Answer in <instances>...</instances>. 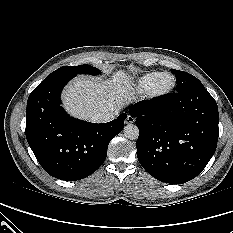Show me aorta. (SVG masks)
<instances>
[{
    "label": "aorta",
    "instance_id": "1",
    "mask_svg": "<svg viewBox=\"0 0 233 233\" xmlns=\"http://www.w3.org/2000/svg\"><path fill=\"white\" fill-rule=\"evenodd\" d=\"M124 136L129 140H135L139 136V129L134 124H128L124 127Z\"/></svg>",
    "mask_w": 233,
    "mask_h": 233
}]
</instances>
